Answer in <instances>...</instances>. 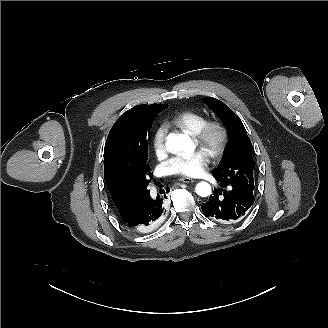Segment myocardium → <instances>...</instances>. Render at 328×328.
<instances>
[{
  "label": "myocardium",
  "instance_id": "obj_1",
  "mask_svg": "<svg viewBox=\"0 0 328 328\" xmlns=\"http://www.w3.org/2000/svg\"><path fill=\"white\" fill-rule=\"evenodd\" d=\"M214 131L219 134L218 144L211 146L210 138ZM196 147L204 151L214 160L220 159L226 152L230 141V130L228 126L218 118L206 119L197 133L191 135Z\"/></svg>",
  "mask_w": 328,
  "mask_h": 328
}]
</instances>
